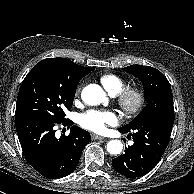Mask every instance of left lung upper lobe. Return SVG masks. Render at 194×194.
Returning a JSON list of instances; mask_svg holds the SVG:
<instances>
[{
  "instance_id": "left-lung-upper-lobe-1",
  "label": "left lung upper lobe",
  "mask_w": 194,
  "mask_h": 194,
  "mask_svg": "<svg viewBox=\"0 0 194 194\" xmlns=\"http://www.w3.org/2000/svg\"><path fill=\"white\" fill-rule=\"evenodd\" d=\"M124 70L135 75L143 83L147 105L134 120L121 127L122 129H130L144 117L157 114H174L170 83L159 70L142 65H130L125 67Z\"/></svg>"
}]
</instances>
